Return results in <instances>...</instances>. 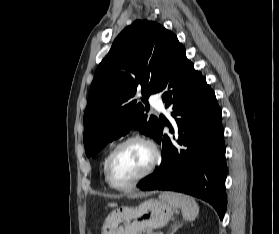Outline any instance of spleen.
<instances>
[{
	"label": "spleen",
	"mask_w": 279,
	"mask_h": 234,
	"mask_svg": "<svg viewBox=\"0 0 279 234\" xmlns=\"http://www.w3.org/2000/svg\"><path fill=\"white\" fill-rule=\"evenodd\" d=\"M160 199L175 208H180L183 218L187 221L195 220L199 214V206L195 199L190 196L180 193L166 192L160 195Z\"/></svg>",
	"instance_id": "obj_1"
}]
</instances>
